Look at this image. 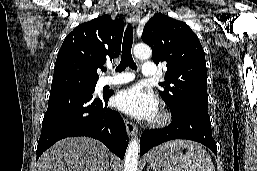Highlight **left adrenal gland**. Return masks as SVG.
<instances>
[{"mask_svg": "<svg viewBox=\"0 0 257 171\" xmlns=\"http://www.w3.org/2000/svg\"><path fill=\"white\" fill-rule=\"evenodd\" d=\"M149 169H150V168L148 167V168H147V171H150Z\"/></svg>", "mask_w": 257, "mask_h": 171, "instance_id": "1", "label": "left adrenal gland"}]
</instances>
